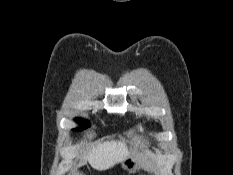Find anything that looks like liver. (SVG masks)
<instances>
[{
    "instance_id": "obj_1",
    "label": "liver",
    "mask_w": 233,
    "mask_h": 175,
    "mask_svg": "<svg viewBox=\"0 0 233 175\" xmlns=\"http://www.w3.org/2000/svg\"><path fill=\"white\" fill-rule=\"evenodd\" d=\"M128 155V148L124 142L111 141L97 144L88 153L86 159L92 168L105 170L122 162Z\"/></svg>"
}]
</instances>
